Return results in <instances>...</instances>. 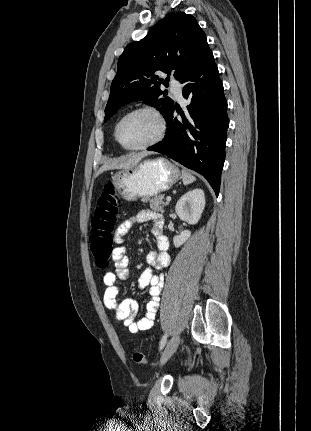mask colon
<instances>
[{"label": "colon", "instance_id": "1", "mask_svg": "<svg viewBox=\"0 0 311 431\" xmlns=\"http://www.w3.org/2000/svg\"><path fill=\"white\" fill-rule=\"evenodd\" d=\"M118 216V202L115 185L112 182L104 184L102 193L97 201L94 216L91 220L90 250L98 268L108 267L113 253L112 234ZM132 358L138 364H146L147 357L134 351Z\"/></svg>", "mask_w": 311, "mask_h": 431}]
</instances>
